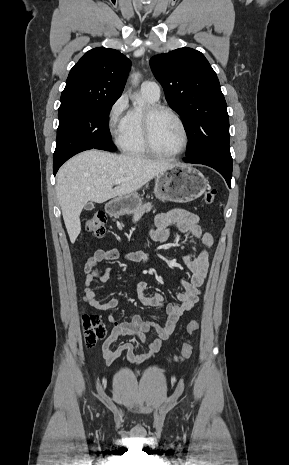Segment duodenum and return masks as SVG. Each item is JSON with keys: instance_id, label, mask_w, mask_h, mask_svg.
<instances>
[{"instance_id": "410a0bca", "label": "duodenum", "mask_w": 289, "mask_h": 465, "mask_svg": "<svg viewBox=\"0 0 289 465\" xmlns=\"http://www.w3.org/2000/svg\"><path fill=\"white\" fill-rule=\"evenodd\" d=\"M114 211H115V208H111V209H110V212H114Z\"/></svg>"}]
</instances>
